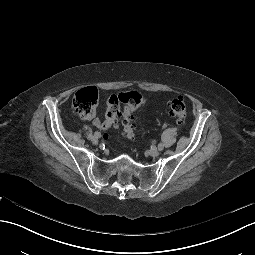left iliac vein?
<instances>
[{
    "label": "left iliac vein",
    "instance_id": "4c4485c4",
    "mask_svg": "<svg viewBox=\"0 0 255 255\" xmlns=\"http://www.w3.org/2000/svg\"><path fill=\"white\" fill-rule=\"evenodd\" d=\"M160 154V151L159 149L157 148H153L149 151V155L152 156V157H156Z\"/></svg>",
    "mask_w": 255,
    "mask_h": 255
}]
</instances>
